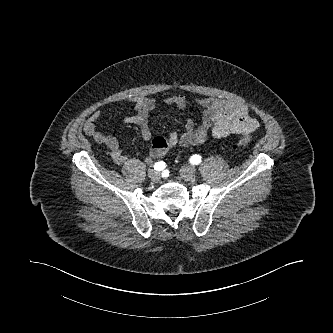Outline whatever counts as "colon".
<instances>
[{"instance_id":"obj_1","label":"colon","mask_w":333,"mask_h":333,"mask_svg":"<svg viewBox=\"0 0 333 333\" xmlns=\"http://www.w3.org/2000/svg\"><path fill=\"white\" fill-rule=\"evenodd\" d=\"M249 144H250V139L248 137L241 138L237 143L239 147H246Z\"/></svg>"}]
</instances>
